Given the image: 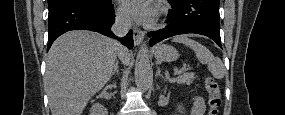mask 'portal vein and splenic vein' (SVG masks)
<instances>
[{
    "label": "portal vein and splenic vein",
    "instance_id": "1",
    "mask_svg": "<svg viewBox=\"0 0 285 115\" xmlns=\"http://www.w3.org/2000/svg\"><path fill=\"white\" fill-rule=\"evenodd\" d=\"M186 70V66L184 65L180 70H175L174 74H179V73H182Z\"/></svg>",
    "mask_w": 285,
    "mask_h": 115
}]
</instances>
